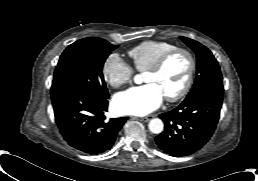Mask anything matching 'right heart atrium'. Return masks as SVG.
<instances>
[{
	"label": "right heart atrium",
	"instance_id": "right-heart-atrium-1",
	"mask_svg": "<svg viewBox=\"0 0 258 181\" xmlns=\"http://www.w3.org/2000/svg\"><path fill=\"white\" fill-rule=\"evenodd\" d=\"M105 81L114 88L123 86L131 81L134 70L117 54L106 58L102 67Z\"/></svg>",
	"mask_w": 258,
	"mask_h": 181
}]
</instances>
